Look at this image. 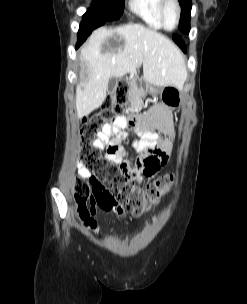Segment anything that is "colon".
<instances>
[{"instance_id": "5ec220e1", "label": "colon", "mask_w": 247, "mask_h": 304, "mask_svg": "<svg viewBox=\"0 0 247 304\" xmlns=\"http://www.w3.org/2000/svg\"><path fill=\"white\" fill-rule=\"evenodd\" d=\"M128 86L120 83L114 94L108 96L102 107L83 120L80 143L82 157L93 171L98 188L90 186L83 177L75 180V198L78 204L79 216L90 221L95 203L107 196L119 203L125 210L139 215L157 204L166 195L172 185L173 175L166 174L157 178L145 188H138L121 171L119 165L104 162L101 149L95 144L97 136L107 123L121 116L127 105ZM148 120V119H136ZM149 167L157 166L156 159H147Z\"/></svg>"}]
</instances>
